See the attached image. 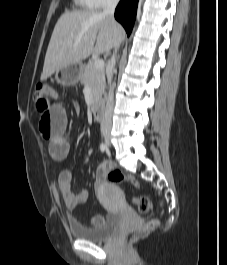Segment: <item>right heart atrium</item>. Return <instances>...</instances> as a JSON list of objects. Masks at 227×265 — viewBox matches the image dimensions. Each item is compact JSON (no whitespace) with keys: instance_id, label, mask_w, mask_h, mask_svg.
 <instances>
[{"instance_id":"1","label":"right heart atrium","mask_w":227,"mask_h":265,"mask_svg":"<svg viewBox=\"0 0 227 265\" xmlns=\"http://www.w3.org/2000/svg\"><path fill=\"white\" fill-rule=\"evenodd\" d=\"M95 8H102L109 4L114 3L117 0H91Z\"/></svg>"}]
</instances>
